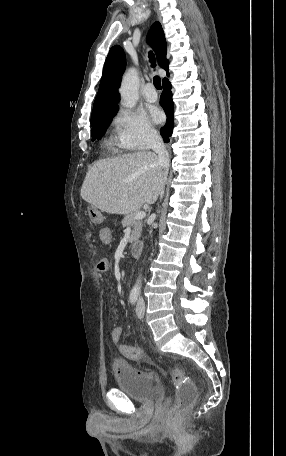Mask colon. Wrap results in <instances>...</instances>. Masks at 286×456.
Wrapping results in <instances>:
<instances>
[{"mask_svg": "<svg viewBox=\"0 0 286 456\" xmlns=\"http://www.w3.org/2000/svg\"><path fill=\"white\" fill-rule=\"evenodd\" d=\"M123 355L127 358L139 360L144 357L141 347L125 345ZM172 382L176 387V403L171 409L172 416L178 415L190 408L196 400L197 388L194 383L186 381L180 369L175 368L171 375Z\"/></svg>", "mask_w": 286, "mask_h": 456, "instance_id": "obj_1", "label": "colon"}]
</instances>
